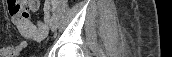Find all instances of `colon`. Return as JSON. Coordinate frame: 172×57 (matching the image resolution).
Segmentation results:
<instances>
[{"instance_id": "obj_1", "label": "colon", "mask_w": 172, "mask_h": 57, "mask_svg": "<svg viewBox=\"0 0 172 57\" xmlns=\"http://www.w3.org/2000/svg\"><path fill=\"white\" fill-rule=\"evenodd\" d=\"M37 27H38V29L41 30V31H44V30H45V25H44V23H42V22H38V23H37Z\"/></svg>"}]
</instances>
